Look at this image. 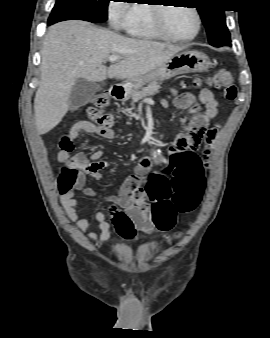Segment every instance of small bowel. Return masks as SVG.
Returning a JSON list of instances; mask_svg holds the SVG:
<instances>
[{"label":"small bowel","mask_w":270,"mask_h":338,"mask_svg":"<svg viewBox=\"0 0 270 338\" xmlns=\"http://www.w3.org/2000/svg\"><path fill=\"white\" fill-rule=\"evenodd\" d=\"M198 97L199 102L194 103L193 96L185 92L178 94L173 99L176 107L180 109L189 108L191 113L197 115V117L191 121L184 136V143L170 148L171 161L165 165L164 169L157 173H146L143 167L146 165V161L139 160V163L134 168V173L123 183L118 196H99L104 202H112L114 205L122 207L131 223L145 233L151 234L156 227L163 231L171 229L176 221L177 213L173 216L172 223L167 227L152 223L147 214L134 204L133 194L139 188V183L143 181L146 186L153 187L158 195V202L172 204L171 198L167 196L171 195L174 184L187 185L195 172L200 171L202 168L200 159L194 151L195 145L191 134L197 126L201 124L205 125L217 115L218 105L213 93L207 88L201 89ZM82 133L97 135L105 139H112L114 137V132L110 128L94 124L90 121H80L74 124L67 134L61 138L60 144L69 143L71 145ZM215 134V131H213L209 135V144L213 143ZM71 151L60 150L58 158L61 161H66L67 164L77 167L81 172L71 188L61 191L60 202L69 220L80 231L85 232L90 225V220L85 215L78 216L74 195L75 192L81 191L87 197L97 196V193L93 189L86 186L88 181L87 175H89L90 179L100 180L102 177L101 170L106 167L107 163L101 160L103 156L101 149L93 151L89 156L82 151L71 155ZM166 170H170V172L168 173ZM104 210V208H101L95 214V220L98 222L100 230L99 234H87V238L96 242L99 246L105 245L111 239L112 225L106 219ZM115 212H117L115 209H111L109 211L110 217H113ZM114 227L125 240L134 239V232L129 231L125 226H118L114 223Z\"/></svg>","instance_id":"obj_1"}]
</instances>
